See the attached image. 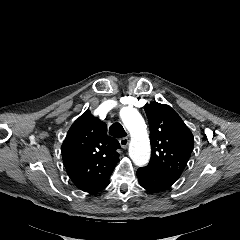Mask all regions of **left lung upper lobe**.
Masks as SVG:
<instances>
[{
    "label": "left lung upper lobe",
    "instance_id": "1",
    "mask_svg": "<svg viewBox=\"0 0 240 240\" xmlns=\"http://www.w3.org/2000/svg\"><path fill=\"white\" fill-rule=\"evenodd\" d=\"M145 112L152 148L148 166L177 181L193 150V135L169 105L152 102Z\"/></svg>",
    "mask_w": 240,
    "mask_h": 240
}]
</instances>
